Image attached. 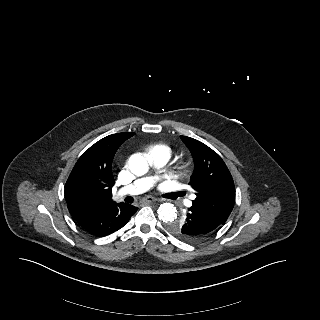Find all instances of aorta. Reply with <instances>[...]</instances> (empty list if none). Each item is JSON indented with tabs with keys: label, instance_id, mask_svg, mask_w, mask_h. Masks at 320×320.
<instances>
[{
	"label": "aorta",
	"instance_id": "762f6f07",
	"mask_svg": "<svg viewBox=\"0 0 320 320\" xmlns=\"http://www.w3.org/2000/svg\"><path fill=\"white\" fill-rule=\"evenodd\" d=\"M130 171L136 176H143L149 171V164L146 158L140 154H133L128 160ZM158 217L164 223H172L178 216L177 209L173 204L164 203L158 208Z\"/></svg>",
	"mask_w": 320,
	"mask_h": 320
}]
</instances>
